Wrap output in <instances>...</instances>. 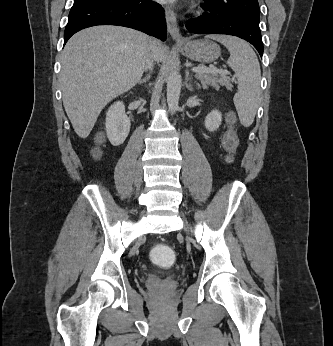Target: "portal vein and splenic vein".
Returning <instances> with one entry per match:
<instances>
[{"label":"portal vein and splenic vein","instance_id":"18ae733b","mask_svg":"<svg viewBox=\"0 0 333 346\" xmlns=\"http://www.w3.org/2000/svg\"><path fill=\"white\" fill-rule=\"evenodd\" d=\"M192 71L196 72V73H206V74H211V73L228 74L229 73L227 70L217 69L215 67H211V68H207V67H193Z\"/></svg>","mask_w":333,"mask_h":346}]
</instances>
